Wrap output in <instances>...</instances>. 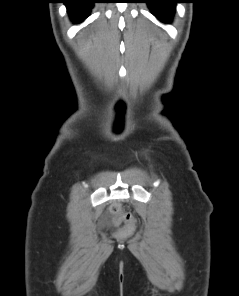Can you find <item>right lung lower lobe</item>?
I'll return each instance as SVG.
<instances>
[{
    "instance_id": "1",
    "label": "right lung lower lobe",
    "mask_w": 239,
    "mask_h": 296,
    "mask_svg": "<svg viewBox=\"0 0 239 296\" xmlns=\"http://www.w3.org/2000/svg\"><path fill=\"white\" fill-rule=\"evenodd\" d=\"M98 0H63L67 7L71 19L75 22H81L90 14V10L94 3Z\"/></svg>"
}]
</instances>
